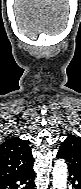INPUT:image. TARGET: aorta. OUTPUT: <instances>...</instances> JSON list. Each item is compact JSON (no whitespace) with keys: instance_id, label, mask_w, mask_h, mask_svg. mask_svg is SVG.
<instances>
[{"instance_id":"1","label":"aorta","mask_w":81,"mask_h":189,"mask_svg":"<svg viewBox=\"0 0 81 189\" xmlns=\"http://www.w3.org/2000/svg\"><path fill=\"white\" fill-rule=\"evenodd\" d=\"M67 164L64 160H57L55 162L52 176L53 189H67Z\"/></svg>"}]
</instances>
